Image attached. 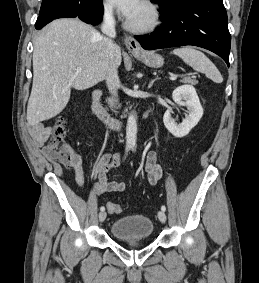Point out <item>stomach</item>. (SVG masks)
Wrapping results in <instances>:
<instances>
[{
  "label": "stomach",
  "mask_w": 259,
  "mask_h": 283,
  "mask_svg": "<svg viewBox=\"0 0 259 283\" xmlns=\"http://www.w3.org/2000/svg\"><path fill=\"white\" fill-rule=\"evenodd\" d=\"M132 54L141 59L147 66L152 68H158L161 67L164 63V59L161 55L153 53V52H147V53H136L132 52Z\"/></svg>",
  "instance_id": "0dacf381"
}]
</instances>
